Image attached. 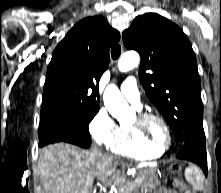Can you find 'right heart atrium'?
Instances as JSON below:
<instances>
[{
    "instance_id": "1",
    "label": "right heart atrium",
    "mask_w": 221,
    "mask_h": 193,
    "mask_svg": "<svg viewBox=\"0 0 221 193\" xmlns=\"http://www.w3.org/2000/svg\"><path fill=\"white\" fill-rule=\"evenodd\" d=\"M119 127L109 112L101 108L90 121L88 129L96 144L109 148L118 136Z\"/></svg>"
}]
</instances>
